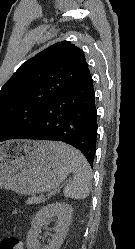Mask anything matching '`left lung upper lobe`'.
<instances>
[{
	"label": "left lung upper lobe",
	"mask_w": 135,
	"mask_h": 249,
	"mask_svg": "<svg viewBox=\"0 0 135 249\" xmlns=\"http://www.w3.org/2000/svg\"><path fill=\"white\" fill-rule=\"evenodd\" d=\"M89 74L83 51L69 41L27 60L0 91V142L32 131L44 109Z\"/></svg>",
	"instance_id": "5c2ea615"
}]
</instances>
